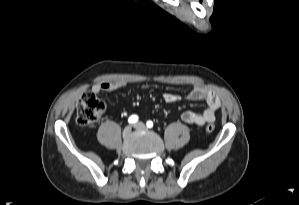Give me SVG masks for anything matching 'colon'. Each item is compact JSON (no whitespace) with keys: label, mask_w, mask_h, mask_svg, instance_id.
Here are the masks:
<instances>
[{"label":"colon","mask_w":299,"mask_h":205,"mask_svg":"<svg viewBox=\"0 0 299 205\" xmlns=\"http://www.w3.org/2000/svg\"><path fill=\"white\" fill-rule=\"evenodd\" d=\"M105 111V104L92 92L84 93L77 104L76 122L80 126H89L100 119ZM215 129L213 124L206 126V131L212 133Z\"/></svg>","instance_id":"obj_1"}]
</instances>
